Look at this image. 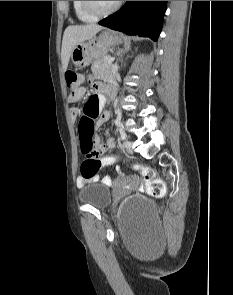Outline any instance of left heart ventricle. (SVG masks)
Here are the masks:
<instances>
[{"mask_svg":"<svg viewBox=\"0 0 233 295\" xmlns=\"http://www.w3.org/2000/svg\"><path fill=\"white\" fill-rule=\"evenodd\" d=\"M97 8L100 10H107L111 8L117 1H94Z\"/></svg>","mask_w":233,"mask_h":295,"instance_id":"1","label":"left heart ventricle"}]
</instances>
